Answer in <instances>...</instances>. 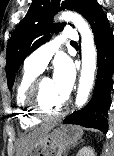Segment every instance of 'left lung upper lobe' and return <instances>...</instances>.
I'll return each instance as SVG.
<instances>
[{"label": "left lung upper lobe", "instance_id": "obj_1", "mask_svg": "<svg viewBox=\"0 0 114 156\" xmlns=\"http://www.w3.org/2000/svg\"><path fill=\"white\" fill-rule=\"evenodd\" d=\"M95 0H33L30 8L13 32L7 45L6 74L9 89L15 73L24 59L41 44L50 39V33L63 29V24L52 23L60 10H75L87 20Z\"/></svg>", "mask_w": 114, "mask_h": 156}]
</instances>
